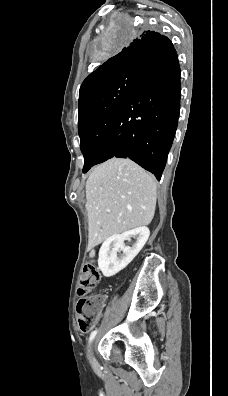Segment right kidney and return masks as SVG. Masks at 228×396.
<instances>
[{"label": "right kidney", "instance_id": "right-kidney-1", "mask_svg": "<svg viewBox=\"0 0 228 396\" xmlns=\"http://www.w3.org/2000/svg\"><path fill=\"white\" fill-rule=\"evenodd\" d=\"M150 235L147 227H138L122 234L113 235L107 238L100 250L98 266L105 277H111L123 270L140 252ZM135 239L132 247L125 246L124 241ZM123 253L118 257L117 253Z\"/></svg>", "mask_w": 228, "mask_h": 396}]
</instances>
